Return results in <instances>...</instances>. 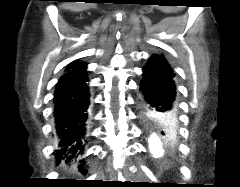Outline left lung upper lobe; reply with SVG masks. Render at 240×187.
I'll return each mask as SVG.
<instances>
[{"label": "left lung upper lobe", "instance_id": "left-lung-upper-lobe-1", "mask_svg": "<svg viewBox=\"0 0 240 187\" xmlns=\"http://www.w3.org/2000/svg\"><path fill=\"white\" fill-rule=\"evenodd\" d=\"M155 56L163 59L164 61H166L162 55H158L155 54ZM153 125L160 131V133L167 139L170 140L172 138H174V136L176 135V126L174 127V129H171L169 127H166L164 125H162L160 122H154Z\"/></svg>", "mask_w": 240, "mask_h": 187}]
</instances>
